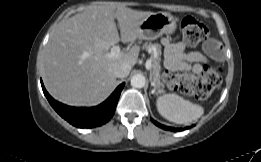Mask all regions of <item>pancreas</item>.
Wrapping results in <instances>:
<instances>
[{"label": "pancreas", "mask_w": 261, "mask_h": 162, "mask_svg": "<svg viewBox=\"0 0 261 162\" xmlns=\"http://www.w3.org/2000/svg\"><path fill=\"white\" fill-rule=\"evenodd\" d=\"M143 48L151 53V79L155 86V89L161 93L163 92L164 83L161 81V46L156 43H145Z\"/></svg>", "instance_id": "1"}]
</instances>
